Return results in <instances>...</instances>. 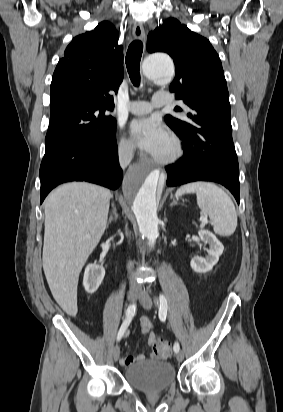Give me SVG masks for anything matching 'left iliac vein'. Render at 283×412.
Here are the masks:
<instances>
[{"mask_svg":"<svg viewBox=\"0 0 283 412\" xmlns=\"http://www.w3.org/2000/svg\"><path fill=\"white\" fill-rule=\"evenodd\" d=\"M139 300H140L141 305L145 309H150L152 307V304H153L152 298L150 297V295L145 289H141ZM176 358L179 362H182L184 359V354L181 351H179L176 353Z\"/></svg>","mask_w":283,"mask_h":412,"instance_id":"1","label":"left iliac vein"}]
</instances>
